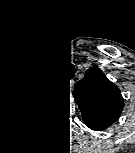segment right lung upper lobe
Here are the masks:
<instances>
[{"instance_id":"right-lung-upper-lobe-1","label":"right lung upper lobe","mask_w":135,"mask_h":153,"mask_svg":"<svg viewBox=\"0 0 135 153\" xmlns=\"http://www.w3.org/2000/svg\"><path fill=\"white\" fill-rule=\"evenodd\" d=\"M27 87V92L30 98L37 105H41L53 91L54 80L48 74H36L31 80L28 81Z\"/></svg>"}]
</instances>
